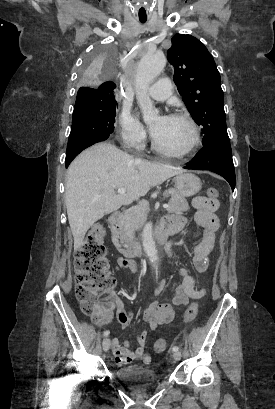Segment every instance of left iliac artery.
<instances>
[{
  "label": "left iliac artery",
  "instance_id": "left-iliac-artery-1",
  "mask_svg": "<svg viewBox=\"0 0 275 409\" xmlns=\"http://www.w3.org/2000/svg\"><path fill=\"white\" fill-rule=\"evenodd\" d=\"M172 350L173 351H179V347L178 346H173Z\"/></svg>",
  "mask_w": 275,
  "mask_h": 409
}]
</instances>
